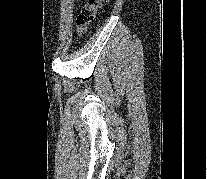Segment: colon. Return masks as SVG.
<instances>
[{
  "label": "colon",
  "mask_w": 207,
  "mask_h": 179,
  "mask_svg": "<svg viewBox=\"0 0 207 179\" xmlns=\"http://www.w3.org/2000/svg\"><path fill=\"white\" fill-rule=\"evenodd\" d=\"M107 0H88L77 16V32L82 34L87 25L92 23L98 11L104 6Z\"/></svg>",
  "instance_id": "obj_1"
}]
</instances>
